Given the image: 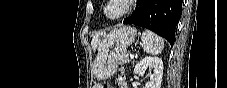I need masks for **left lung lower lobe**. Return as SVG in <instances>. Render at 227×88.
<instances>
[{
	"instance_id": "left-lung-lower-lobe-1",
	"label": "left lung lower lobe",
	"mask_w": 227,
	"mask_h": 88,
	"mask_svg": "<svg viewBox=\"0 0 227 88\" xmlns=\"http://www.w3.org/2000/svg\"><path fill=\"white\" fill-rule=\"evenodd\" d=\"M181 12L182 0H138L134 13L123 23L152 30L173 45Z\"/></svg>"
}]
</instances>
